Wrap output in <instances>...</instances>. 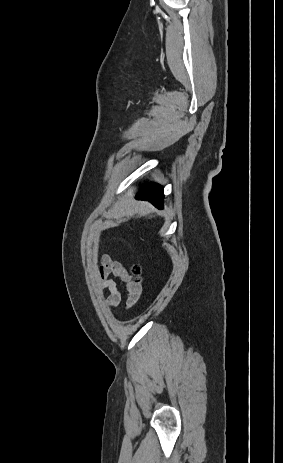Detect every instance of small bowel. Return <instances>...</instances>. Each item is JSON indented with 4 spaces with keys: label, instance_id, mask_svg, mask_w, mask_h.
Here are the masks:
<instances>
[{
    "label": "small bowel",
    "instance_id": "obj_1",
    "mask_svg": "<svg viewBox=\"0 0 283 463\" xmlns=\"http://www.w3.org/2000/svg\"><path fill=\"white\" fill-rule=\"evenodd\" d=\"M110 275H113L126 283L129 292L127 305H133L135 302V285L131 282L128 271L120 262L114 261L110 255L103 254L98 271V278L99 288L109 292V295L105 299V307L109 310L114 309L122 300V294L117 283L114 279L110 278Z\"/></svg>",
    "mask_w": 283,
    "mask_h": 463
}]
</instances>
